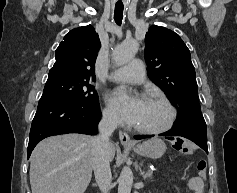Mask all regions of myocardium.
<instances>
[{
    "instance_id": "obj_1",
    "label": "myocardium",
    "mask_w": 237,
    "mask_h": 193,
    "mask_svg": "<svg viewBox=\"0 0 237 193\" xmlns=\"http://www.w3.org/2000/svg\"><path fill=\"white\" fill-rule=\"evenodd\" d=\"M147 99L158 101L165 106V108L168 111L167 121L163 126L158 127V128H145V127H140L136 125H133V128L140 133L148 134V135H158L170 130L175 124V121L177 118V111L174 105L169 101L167 97L161 94H152L148 96Z\"/></svg>"
}]
</instances>
